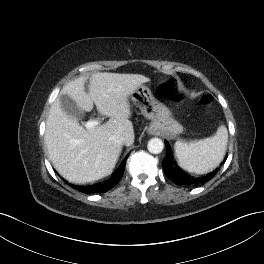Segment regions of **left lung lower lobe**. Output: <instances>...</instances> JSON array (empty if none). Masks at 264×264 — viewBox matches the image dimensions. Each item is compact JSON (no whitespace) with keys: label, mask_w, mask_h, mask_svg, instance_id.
I'll return each instance as SVG.
<instances>
[{"label":"left lung lower lobe","mask_w":264,"mask_h":264,"mask_svg":"<svg viewBox=\"0 0 264 264\" xmlns=\"http://www.w3.org/2000/svg\"><path fill=\"white\" fill-rule=\"evenodd\" d=\"M166 148H167V154L165 158L162 161V166L164 169V172L168 178H170L174 183L178 185H197L200 183H204L214 177V175L217 173L218 169L216 171H213L206 176L201 177H194L187 173H185L177 164L173 161V157L171 156V153L169 151V147L167 146V143L165 142ZM226 160V158H225Z\"/></svg>","instance_id":"left-lung-lower-lobe-1"}]
</instances>
